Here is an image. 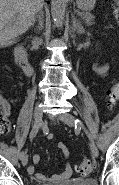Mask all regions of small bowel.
Masks as SVG:
<instances>
[{
  "label": "small bowel",
  "instance_id": "obj_1",
  "mask_svg": "<svg viewBox=\"0 0 119 185\" xmlns=\"http://www.w3.org/2000/svg\"><path fill=\"white\" fill-rule=\"evenodd\" d=\"M94 69H95V72L98 75L102 76V75H105L107 73L109 67H108V65H99V64H97L94 67ZM3 107H4V111H5L6 115L8 116L9 113H10V107H9L8 103L5 102L3 104ZM48 138L50 140H52L53 135L49 134ZM57 146L62 151L64 160H65V165H64L63 170L58 174H51V175H44L42 173H37L35 171V165H37L40 162V155L35 154L33 156V159H32L33 164L28 167L27 171H28L29 174L34 175L38 181L43 182V183H50V182H55V181L67 179L71 176L72 170H71V166H70L69 161H68L69 160V149L62 142H58Z\"/></svg>",
  "mask_w": 119,
  "mask_h": 185
}]
</instances>
